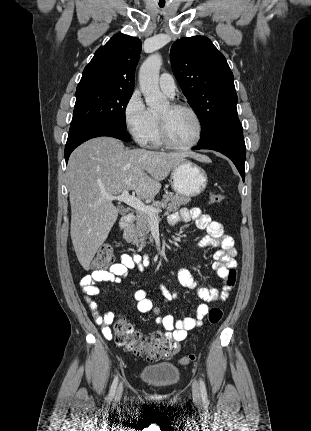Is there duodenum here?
<instances>
[{
    "label": "duodenum",
    "instance_id": "410a0bca",
    "mask_svg": "<svg viewBox=\"0 0 311 431\" xmlns=\"http://www.w3.org/2000/svg\"><path fill=\"white\" fill-rule=\"evenodd\" d=\"M133 220H134V214L131 213V212L126 213L121 218V221H120V228H121V230H124L125 228H127L128 226H130L131 223L133 222Z\"/></svg>",
    "mask_w": 311,
    "mask_h": 431
}]
</instances>
